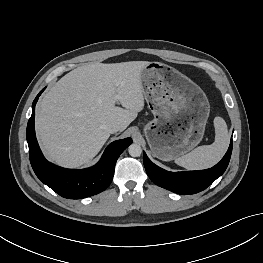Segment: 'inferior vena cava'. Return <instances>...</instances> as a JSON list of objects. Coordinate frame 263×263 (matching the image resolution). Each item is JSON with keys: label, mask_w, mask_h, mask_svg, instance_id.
Wrapping results in <instances>:
<instances>
[{"label": "inferior vena cava", "mask_w": 263, "mask_h": 263, "mask_svg": "<svg viewBox=\"0 0 263 263\" xmlns=\"http://www.w3.org/2000/svg\"><path fill=\"white\" fill-rule=\"evenodd\" d=\"M105 129L107 130L108 133L113 134L120 130V125L117 122H112V123L107 124L105 126Z\"/></svg>", "instance_id": "inferior-vena-cava-1"}]
</instances>
